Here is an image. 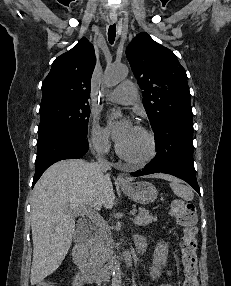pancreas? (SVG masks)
Here are the masks:
<instances>
[{
  "instance_id": "pancreas-1",
  "label": "pancreas",
  "mask_w": 231,
  "mask_h": 286,
  "mask_svg": "<svg viewBox=\"0 0 231 286\" xmlns=\"http://www.w3.org/2000/svg\"><path fill=\"white\" fill-rule=\"evenodd\" d=\"M156 220V216L151 215L146 209H141L135 216L134 223L142 226ZM112 243L110 228L107 225L99 228L90 243V263L97 267L103 265L110 256Z\"/></svg>"
}]
</instances>
